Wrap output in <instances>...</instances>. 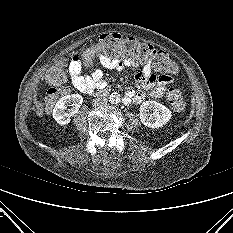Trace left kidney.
Segmentation results:
<instances>
[{
    "instance_id": "left-kidney-1",
    "label": "left kidney",
    "mask_w": 233,
    "mask_h": 233,
    "mask_svg": "<svg viewBox=\"0 0 233 233\" xmlns=\"http://www.w3.org/2000/svg\"><path fill=\"white\" fill-rule=\"evenodd\" d=\"M151 111H153L151 113ZM141 122L149 128H159L171 118V111L156 101L143 102L139 110Z\"/></svg>"
}]
</instances>
